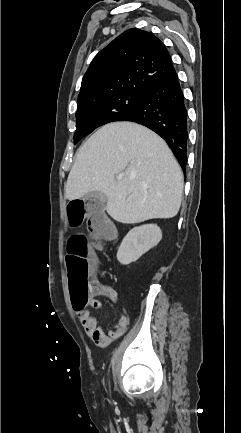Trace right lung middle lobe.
Returning <instances> with one entry per match:
<instances>
[{
    "mask_svg": "<svg viewBox=\"0 0 241 433\" xmlns=\"http://www.w3.org/2000/svg\"><path fill=\"white\" fill-rule=\"evenodd\" d=\"M143 98L144 92L125 91L78 103L74 144L99 126L119 121L136 109L143 101Z\"/></svg>",
    "mask_w": 241,
    "mask_h": 433,
    "instance_id": "right-lung-middle-lobe-1",
    "label": "right lung middle lobe"
}]
</instances>
